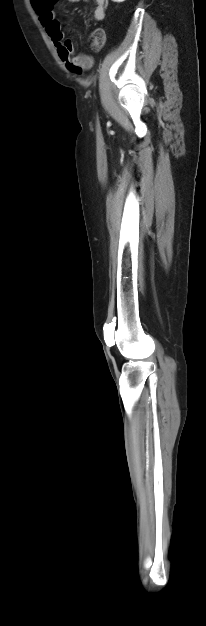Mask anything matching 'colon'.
I'll return each mask as SVG.
<instances>
[{
	"mask_svg": "<svg viewBox=\"0 0 206 626\" xmlns=\"http://www.w3.org/2000/svg\"><path fill=\"white\" fill-rule=\"evenodd\" d=\"M106 40V35L103 29L97 28L92 31L89 37V44L94 50L101 49Z\"/></svg>",
	"mask_w": 206,
	"mask_h": 626,
	"instance_id": "5ec220e1",
	"label": "colon"
}]
</instances>
